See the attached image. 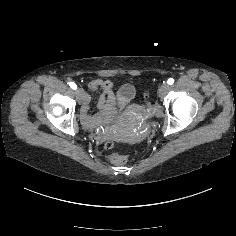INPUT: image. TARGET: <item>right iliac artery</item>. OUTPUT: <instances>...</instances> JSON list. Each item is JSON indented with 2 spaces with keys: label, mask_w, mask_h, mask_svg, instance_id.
Wrapping results in <instances>:
<instances>
[{
  "label": "right iliac artery",
  "mask_w": 236,
  "mask_h": 236,
  "mask_svg": "<svg viewBox=\"0 0 236 236\" xmlns=\"http://www.w3.org/2000/svg\"><path fill=\"white\" fill-rule=\"evenodd\" d=\"M69 85L72 89H74V90L77 89V85L74 82H70Z\"/></svg>",
  "instance_id": "82829eb1"
}]
</instances>
